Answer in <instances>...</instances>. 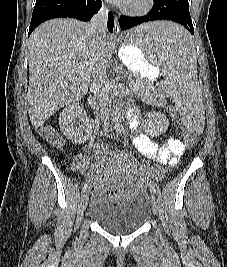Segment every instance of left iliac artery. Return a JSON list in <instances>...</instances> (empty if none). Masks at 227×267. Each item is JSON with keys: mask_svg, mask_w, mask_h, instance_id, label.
<instances>
[{"mask_svg": "<svg viewBox=\"0 0 227 267\" xmlns=\"http://www.w3.org/2000/svg\"><path fill=\"white\" fill-rule=\"evenodd\" d=\"M151 191L156 194V189L155 186L153 184L150 185Z\"/></svg>", "mask_w": 227, "mask_h": 267, "instance_id": "obj_1", "label": "left iliac artery"}]
</instances>
